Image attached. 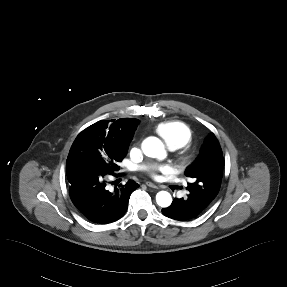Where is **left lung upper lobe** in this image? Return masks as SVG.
Instances as JSON below:
<instances>
[{
    "mask_svg": "<svg viewBox=\"0 0 287 287\" xmlns=\"http://www.w3.org/2000/svg\"><path fill=\"white\" fill-rule=\"evenodd\" d=\"M224 159L217 138L210 133L202 146L198 158L185 171L193 182L187 189L201 200L209 203L217 196L223 177Z\"/></svg>",
    "mask_w": 287,
    "mask_h": 287,
    "instance_id": "left-lung-upper-lobe-1",
    "label": "left lung upper lobe"
}]
</instances>
